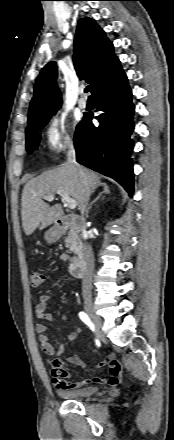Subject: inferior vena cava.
<instances>
[{
  "label": "inferior vena cava",
  "mask_w": 174,
  "mask_h": 440,
  "mask_svg": "<svg viewBox=\"0 0 174 440\" xmlns=\"http://www.w3.org/2000/svg\"><path fill=\"white\" fill-rule=\"evenodd\" d=\"M67 162L77 165L81 175H84L81 167L76 162V152H75L74 146L72 144L69 146V149H68ZM88 199L89 198H87V200H86V203H85V206H84L82 213L86 212V214H87L86 206L88 205ZM85 238H86V233L84 231L83 239H85ZM83 256H84V260L86 262V269L84 271V275H83V279H82V290H83L84 295H90L91 294V279H92V273H93V269H94V255H93L92 247L88 243L83 244Z\"/></svg>",
  "instance_id": "602c4592"
}]
</instances>
